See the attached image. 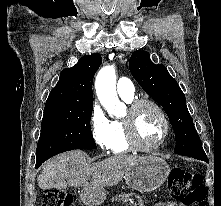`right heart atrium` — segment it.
Here are the masks:
<instances>
[{"label": "right heart atrium", "instance_id": "obj_1", "mask_svg": "<svg viewBox=\"0 0 221 206\" xmlns=\"http://www.w3.org/2000/svg\"><path fill=\"white\" fill-rule=\"evenodd\" d=\"M92 138L102 150L110 149L111 121L106 117L98 102L93 104L90 115Z\"/></svg>", "mask_w": 221, "mask_h": 206}]
</instances>
